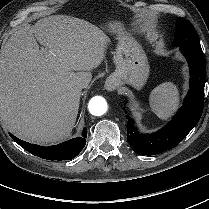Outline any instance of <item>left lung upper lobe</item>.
<instances>
[{
    "label": "left lung upper lobe",
    "mask_w": 209,
    "mask_h": 209,
    "mask_svg": "<svg viewBox=\"0 0 209 209\" xmlns=\"http://www.w3.org/2000/svg\"><path fill=\"white\" fill-rule=\"evenodd\" d=\"M195 43H200V41L196 35L194 27L188 20L179 17L176 21V32L173 46L179 47L182 45Z\"/></svg>",
    "instance_id": "5c2ea615"
}]
</instances>
